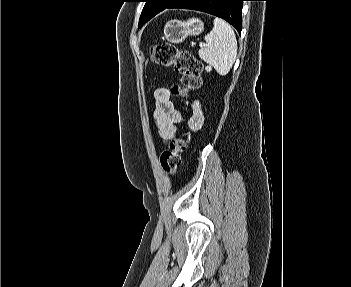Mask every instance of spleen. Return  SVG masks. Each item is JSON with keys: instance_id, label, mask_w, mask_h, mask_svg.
Segmentation results:
<instances>
[{"instance_id": "spleen-1", "label": "spleen", "mask_w": 351, "mask_h": 287, "mask_svg": "<svg viewBox=\"0 0 351 287\" xmlns=\"http://www.w3.org/2000/svg\"><path fill=\"white\" fill-rule=\"evenodd\" d=\"M214 27L205 36L207 46L198 52L199 57L211 65L218 74L226 75L237 57V40L232 27L223 19L215 18Z\"/></svg>"}]
</instances>
